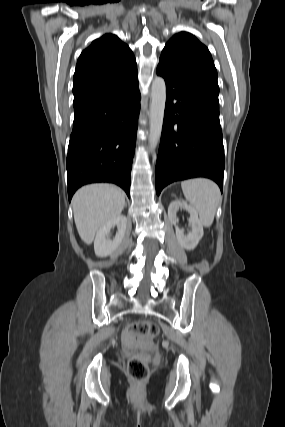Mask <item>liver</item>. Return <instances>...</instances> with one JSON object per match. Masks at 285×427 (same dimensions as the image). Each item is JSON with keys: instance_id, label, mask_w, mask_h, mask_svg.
I'll use <instances>...</instances> for the list:
<instances>
[{"instance_id": "1", "label": "liver", "mask_w": 285, "mask_h": 427, "mask_svg": "<svg viewBox=\"0 0 285 427\" xmlns=\"http://www.w3.org/2000/svg\"><path fill=\"white\" fill-rule=\"evenodd\" d=\"M72 205L79 236L89 245L100 227L121 214L125 196L116 186L91 184L75 193Z\"/></svg>"}]
</instances>
